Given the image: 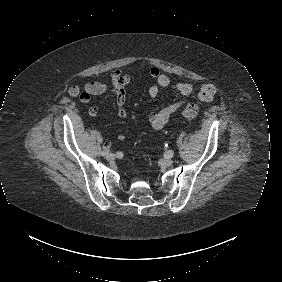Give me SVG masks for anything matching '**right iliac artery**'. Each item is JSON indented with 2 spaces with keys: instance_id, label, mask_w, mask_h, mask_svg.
Returning a JSON list of instances; mask_svg holds the SVG:
<instances>
[{
  "instance_id": "obj_1",
  "label": "right iliac artery",
  "mask_w": 282,
  "mask_h": 282,
  "mask_svg": "<svg viewBox=\"0 0 282 282\" xmlns=\"http://www.w3.org/2000/svg\"><path fill=\"white\" fill-rule=\"evenodd\" d=\"M108 152H109V150H108V149L103 150V151L101 152V155H102V156H105L106 154H108Z\"/></svg>"
}]
</instances>
